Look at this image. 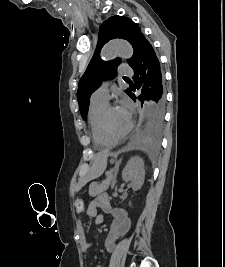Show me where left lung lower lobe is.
Segmentation results:
<instances>
[{
  "label": "left lung lower lobe",
  "mask_w": 225,
  "mask_h": 267,
  "mask_svg": "<svg viewBox=\"0 0 225 267\" xmlns=\"http://www.w3.org/2000/svg\"><path fill=\"white\" fill-rule=\"evenodd\" d=\"M134 70L133 80L136 83L129 90V97L136 100L135 90H140L138 99L143 103L150 100L152 106L165 108L164 79L159 60L152 45L143 37L138 49L134 63L131 65Z\"/></svg>",
  "instance_id": "1"
}]
</instances>
